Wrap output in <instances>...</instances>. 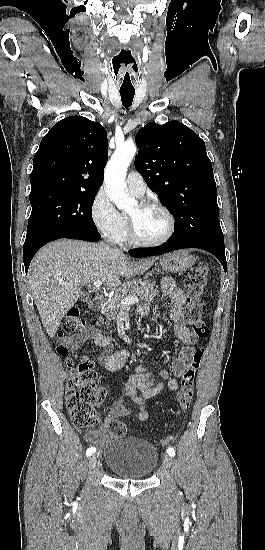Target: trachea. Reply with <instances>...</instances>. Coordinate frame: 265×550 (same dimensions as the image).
Listing matches in <instances>:
<instances>
[{
    "label": "trachea",
    "mask_w": 265,
    "mask_h": 550,
    "mask_svg": "<svg viewBox=\"0 0 265 550\" xmlns=\"http://www.w3.org/2000/svg\"><path fill=\"white\" fill-rule=\"evenodd\" d=\"M134 94H135V92H131V91H121L120 92L122 104H123L124 107L128 108L129 106H131L133 98H134Z\"/></svg>",
    "instance_id": "trachea-1"
}]
</instances>
